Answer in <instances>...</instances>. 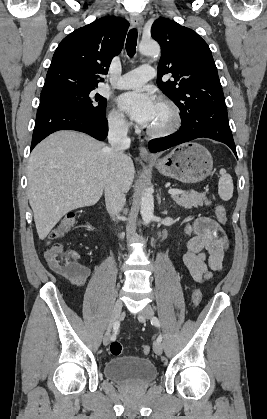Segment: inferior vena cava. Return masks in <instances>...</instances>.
Instances as JSON below:
<instances>
[{
  "mask_svg": "<svg viewBox=\"0 0 267 419\" xmlns=\"http://www.w3.org/2000/svg\"><path fill=\"white\" fill-rule=\"evenodd\" d=\"M127 133L128 125L123 119L110 122L108 141L111 145L109 148L111 169L106 179L104 191L106 208L114 220L126 202V183L118 172V166L119 160L124 156V150L130 147V139Z\"/></svg>",
  "mask_w": 267,
  "mask_h": 419,
  "instance_id": "602c4592",
  "label": "inferior vena cava"
}]
</instances>
